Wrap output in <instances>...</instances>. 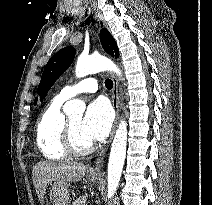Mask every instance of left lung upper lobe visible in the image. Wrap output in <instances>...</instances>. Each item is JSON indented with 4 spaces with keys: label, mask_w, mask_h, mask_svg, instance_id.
Listing matches in <instances>:
<instances>
[{
    "label": "left lung upper lobe",
    "mask_w": 212,
    "mask_h": 205,
    "mask_svg": "<svg viewBox=\"0 0 212 205\" xmlns=\"http://www.w3.org/2000/svg\"><path fill=\"white\" fill-rule=\"evenodd\" d=\"M100 40L104 50L117 58L119 57V50L116 42L110 33L106 29H102L100 34ZM75 56V49L71 46H67L58 51L47 63L40 84L38 86V93L41 96V100L44 99L50 87L54 82L62 75V73L68 69Z\"/></svg>",
    "instance_id": "left-lung-upper-lobe-1"
}]
</instances>
